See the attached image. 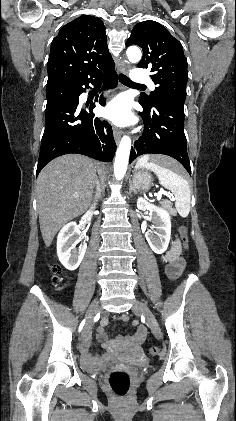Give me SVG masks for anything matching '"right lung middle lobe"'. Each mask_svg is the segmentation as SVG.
Segmentation results:
<instances>
[{"instance_id": "dd1d6c3e", "label": "right lung middle lobe", "mask_w": 236, "mask_h": 421, "mask_svg": "<svg viewBox=\"0 0 236 421\" xmlns=\"http://www.w3.org/2000/svg\"><path fill=\"white\" fill-rule=\"evenodd\" d=\"M47 106L63 102L70 101L74 98L71 89L68 86H47L46 88Z\"/></svg>"}]
</instances>
